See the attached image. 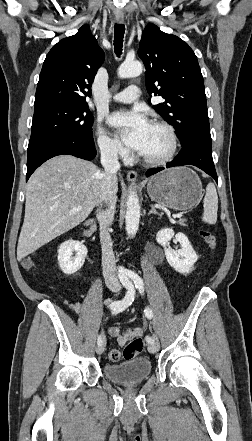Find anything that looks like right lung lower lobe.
<instances>
[{"label":"right lung lower lobe","mask_w":252,"mask_h":441,"mask_svg":"<svg viewBox=\"0 0 252 441\" xmlns=\"http://www.w3.org/2000/svg\"><path fill=\"white\" fill-rule=\"evenodd\" d=\"M69 154L85 160H92L96 156V149L92 138L78 136L45 137L29 142L27 155V175H30L46 160Z\"/></svg>","instance_id":"98d812e1"}]
</instances>
